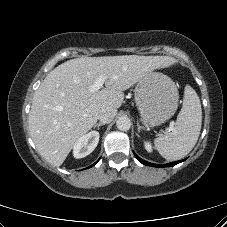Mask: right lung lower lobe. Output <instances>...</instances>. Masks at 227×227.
I'll return each mask as SVG.
<instances>
[{
    "label": "right lung lower lobe",
    "instance_id": "right-lung-lower-lobe-1",
    "mask_svg": "<svg viewBox=\"0 0 227 227\" xmlns=\"http://www.w3.org/2000/svg\"><path fill=\"white\" fill-rule=\"evenodd\" d=\"M97 162H98V161H97ZM97 162H96V163H97ZM96 163H94V164H93V165H91L90 167L94 166Z\"/></svg>",
    "mask_w": 227,
    "mask_h": 227
}]
</instances>
